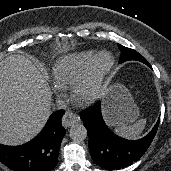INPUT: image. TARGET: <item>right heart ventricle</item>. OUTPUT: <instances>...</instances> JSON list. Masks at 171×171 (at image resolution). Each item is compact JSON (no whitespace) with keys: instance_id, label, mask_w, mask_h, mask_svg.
Segmentation results:
<instances>
[{"instance_id":"1","label":"right heart ventricle","mask_w":171,"mask_h":171,"mask_svg":"<svg viewBox=\"0 0 171 171\" xmlns=\"http://www.w3.org/2000/svg\"><path fill=\"white\" fill-rule=\"evenodd\" d=\"M94 55V51H84L59 58L53 67L54 83L64 88L69 87L73 80L87 67Z\"/></svg>"}]
</instances>
